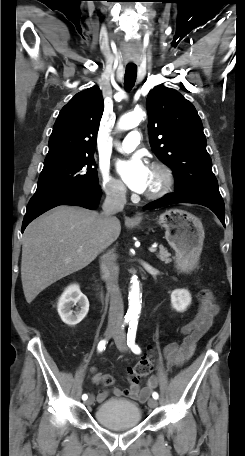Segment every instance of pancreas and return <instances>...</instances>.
<instances>
[{
  "instance_id": "obj_1",
  "label": "pancreas",
  "mask_w": 245,
  "mask_h": 456,
  "mask_svg": "<svg viewBox=\"0 0 245 456\" xmlns=\"http://www.w3.org/2000/svg\"><path fill=\"white\" fill-rule=\"evenodd\" d=\"M159 249L160 250L157 253V257L166 264L170 263L172 259L170 258L171 254L168 252V250L162 245L159 246Z\"/></svg>"
}]
</instances>
